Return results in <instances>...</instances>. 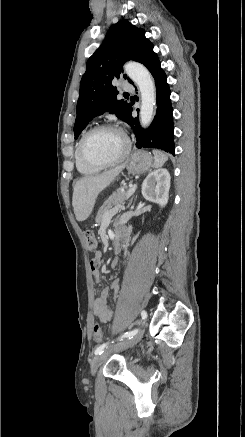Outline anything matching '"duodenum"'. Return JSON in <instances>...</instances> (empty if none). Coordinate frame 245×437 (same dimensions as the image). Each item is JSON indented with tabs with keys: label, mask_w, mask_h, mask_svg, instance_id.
Returning a JSON list of instances; mask_svg holds the SVG:
<instances>
[{
	"label": "duodenum",
	"mask_w": 245,
	"mask_h": 437,
	"mask_svg": "<svg viewBox=\"0 0 245 437\" xmlns=\"http://www.w3.org/2000/svg\"><path fill=\"white\" fill-rule=\"evenodd\" d=\"M126 234L125 231L120 229L116 232V237H115V244H114V254L115 257L112 259L111 261V267H116L118 264V254L121 250V248L123 247L124 243L126 242Z\"/></svg>",
	"instance_id": "duodenum-1"
}]
</instances>
